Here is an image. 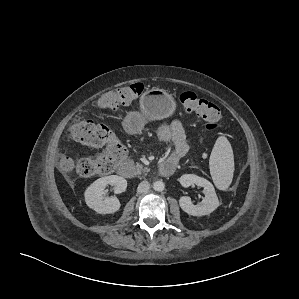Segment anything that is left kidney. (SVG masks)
<instances>
[{
    "instance_id": "5707ae66",
    "label": "left kidney",
    "mask_w": 299,
    "mask_h": 299,
    "mask_svg": "<svg viewBox=\"0 0 299 299\" xmlns=\"http://www.w3.org/2000/svg\"><path fill=\"white\" fill-rule=\"evenodd\" d=\"M180 184L187 188L192 184L203 187L205 197L198 205H194L189 197L182 196L179 200L181 209L192 216H204L212 213L219 206L214 186L207 179L194 174H184L179 178Z\"/></svg>"
}]
</instances>
